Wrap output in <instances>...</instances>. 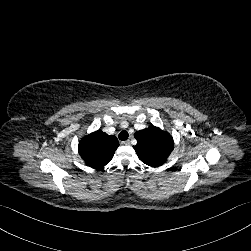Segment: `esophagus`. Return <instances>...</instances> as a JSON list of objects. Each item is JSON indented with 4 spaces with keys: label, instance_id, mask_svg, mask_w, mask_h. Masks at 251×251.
Wrapping results in <instances>:
<instances>
[{
    "label": "esophagus",
    "instance_id": "34e87169",
    "mask_svg": "<svg viewBox=\"0 0 251 251\" xmlns=\"http://www.w3.org/2000/svg\"><path fill=\"white\" fill-rule=\"evenodd\" d=\"M122 145H129L130 144V140H125V141H121Z\"/></svg>",
    "mask_w": 251,
    "mask_h": 251
}]
</instances>
